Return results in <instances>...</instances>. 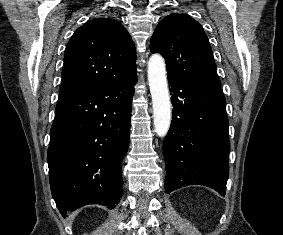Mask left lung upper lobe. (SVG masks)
Instances as JSON below:
<instances>
[{
    "label": "left lung upper lobe",
    "instance_id": "5c2ea615",
    "mask_svg": "<svg viewBox=\"0 0 283 235\" xmlns=\"http://www.w3.org/2000/svg\"><path fill=\"white\" fill-rule=\"evenodd\" d=\"M150 49L165 58L168 76L221 89L208 38L190 16L176 13L163 18L151 38Z\"/></svg>",
    "mask_w": 283,
    "mask_h": 235
}]
</instances>
